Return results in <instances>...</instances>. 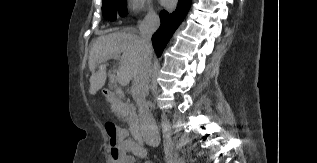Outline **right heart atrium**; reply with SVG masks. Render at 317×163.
Wrapping results in <instances>:
<instances>
[{
	"instance_id": "1",
	"label": "right heart atrium",
	"mask_w": 317,
	"mask_h": 163,
	"mask_svg": "<svg viewBox=\"0 0 317 163\" xmlns=\"http://www.w3.org/2000/svg\"><path fill=\"white\" fill-rule=\"evenodd\" d=\"M125 5L127 10L132 14L140 12L152 13L150 0H126Z\"/></svg>"
}]
</instances>
